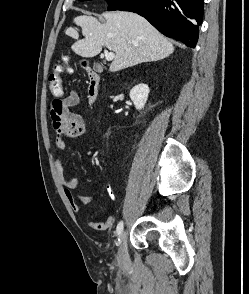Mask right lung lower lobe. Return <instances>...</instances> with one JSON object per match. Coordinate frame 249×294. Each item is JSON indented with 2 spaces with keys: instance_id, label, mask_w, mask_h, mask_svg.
<instances>
[{
  "instance_id": "right-lung-lower-lobe-1",
  "label": "right lung lower lobe",
  "mask_w": 249,
  "mask_h": 294,
  "mask_svg": "<svg viewBox=\"0 0 249 294\" xmlns=\"http://www.w3.org/2000/svg\"><path fill=\"white\" fill-rule=\"evenodd\" d=\"M118 10L138 13L167 37L194 48L204 0H126Z\"/></svg>"
}]
</instances>
